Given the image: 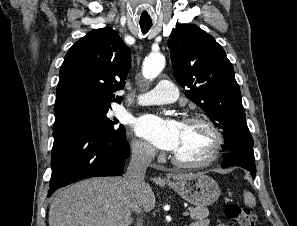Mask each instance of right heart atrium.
<instances>
[{
	"label": "right heart atrium",
	"instance_id": "d8ad5b80",
	"mask_svg": "<svg viewBox=\"0 0 297 226\" xmlns=\"http://www.w3.org/2000/svg\"><path fill=\"white\" fill-rule=\"evenodd\" d=\"M133 156L142 162H148L154 156V149L147 143L134 139L131 143Z\"/></svg>",
	"mask_w": 297,
	"mask_h": 226
}]
</instances>
